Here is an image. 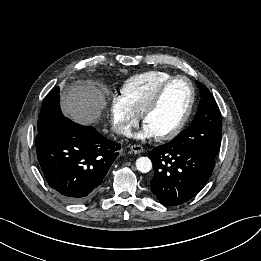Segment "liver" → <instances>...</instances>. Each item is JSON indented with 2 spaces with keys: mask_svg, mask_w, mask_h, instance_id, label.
<instances>
[{
  "mask_svg": "<svg viewBox=\"0 0 261 261\" xmlns=\"http://www.w3.org/2000/svg\"><path fill=\"white\" fill-rule=\"evenodd\" d=\"M60 103L64 114L73 121L92 124L106 105L105 91L93 81H78L62 92Z\"/></svg>",
  "mask_w": 261,
  "mask_h": 261,
  "instance_id": "liver-1",
  "label": "liver"
}]
</instances>
